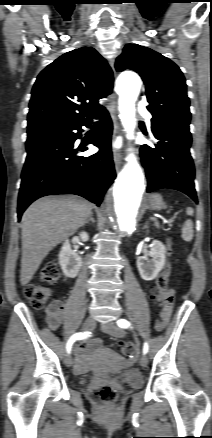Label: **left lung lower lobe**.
Instances as JSON below:
<instances>
[{"instance_id": "1", "label": "left lung lower lobe", "mask_w": 212, "mask_h": 438, "mask_svg": "<svg viewBox=\"0 0 212 438\" xmlns=\"http://www.w3.org/2000/svg\"><path fill=\"white\" fill-rule=\"evenodd\" d=\"M156 148L143 146L141 158L148 179L147 192L162 188L179 190L197 202L189 126L152 123Z\"/></svg>"}]
</instances>
